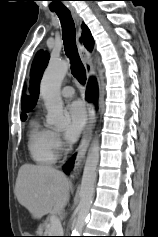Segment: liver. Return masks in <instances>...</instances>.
<instances>
[{
  "mask_svg": "<svg viewBox=\"0 0 158 237\" xmlns=\"http://www.w3.org/2000/svg\"><path fill=\"white\" fill-rule=\"evenodd\" d=\"M71 182L65 174L53 167L23 164L15 185L18 202L28 209L32 217L63 211L69 200Z\"/></svg>",
  "mask_w": 158,
  "mask_h": 237,
  "instance_id": "6515ba94",
  "label": "liver"
}]
</instances>
